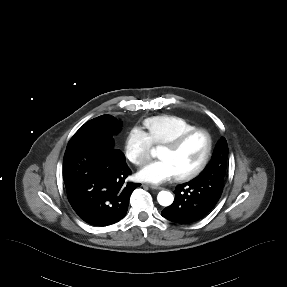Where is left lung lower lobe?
<instances>
[{
    "instance_id": "1",
    "label": "left lung lower lobe",
    "mask_w": 287,
    "mask_h": 287,
    "mask_svg": "<svg viewBox=\"0 0 287 287\" xmlns=\"http://www.w3.org/2000/svg\"><path fill=\"white\" fill-rule=\"evenodd\" d=\"M224 183L214 180L202 186L190 181L175 188V200L162 211V216L177 223H191L204 217L218 202Z\"/></svg>"
}]
</instances>
